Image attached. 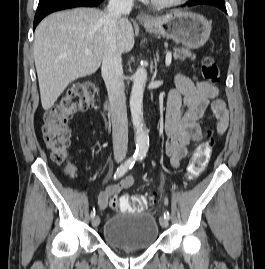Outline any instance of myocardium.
Returning a JSON list of instances; mask_svg holds the SVG:
<instances>
[{"label":"myocardium","mask_w":265,"mask_h":269,"mask_svg":"<svg viewBox=\"0 0 265 269\" xmlns=\"http://www.w3.org/2000/svg\"><path fill=\"white\" fill-rule=\"evenodd\" d=\"M150 5L157 8H169L179 6L186 3L188 0H145Z\"/></svg>","instance_id":"1"}]
</instances>
